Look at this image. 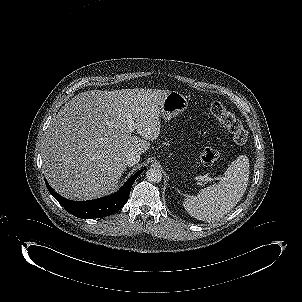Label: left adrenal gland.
I'll return each mask as SVG.
<instances>
[{"instance_id": "a2214340", "label": "left adrenal gland", "mask_w": 302, "mask_h": 302, "mask_svg": "<svg viewBox=\"0 0 302 302\" xmlns=\"http://www.w3.org/2000/svg\"><path fill=\"white\" fill-rule=\"evenodd\" d=\"M177 192H178V193H180V190H179V189H177Z\"/></svg>"}]
</instances>
